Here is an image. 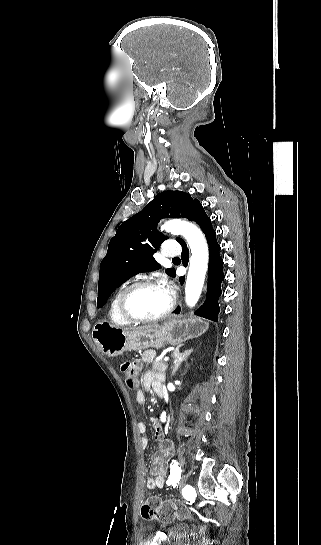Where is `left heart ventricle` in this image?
Listing matches in <instances>:
<instances>
[{
    "instance_id": "obj_1",
    "label": "left heart ventricle",
    "mask_w": 321,
    "mask_h": 545,
    "mask_svg": "<svg viewBox=\"0 0 321 545\" xmlns=\"http://www.w3.org/2000/svg\"><path fill=\"white\" fill-rule=\"evenodd\" d=\"M171 296L164 288L140 289L131 293L126 300V310L133 318H148L165 312Z\"/></svg>"
}]
</instances>
